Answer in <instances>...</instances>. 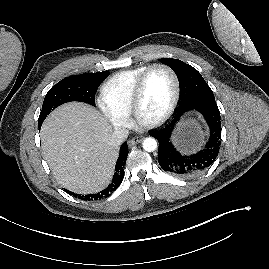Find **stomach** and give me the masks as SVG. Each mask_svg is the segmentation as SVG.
Wrapping results in <instances>:
<instances>
[{
    "label": "stomach",
    "instance_id": "stomach-1",
    "mask_svg": "<svg viewBox=\"0 0 269 269\" xmlns=\"http://www.w3.org/2000/svg\"><path fill=\"white\" fill-rule=\"evenodd\" d=\"M201 139V128L195 119L183 122L174 137L176 143L185 151L194 149Z\"/></svg>",
    "mask_w": 269,
    "mask_h": 269
}]
</instances>
